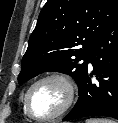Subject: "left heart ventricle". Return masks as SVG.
<instances>
[{"instance_id":"1","label":"left heart ventricle","mask_w":118,"mask_h":123,"mask_svg":"<svg viewBox=\"0 0 118 123\" xmlns=\"http://www.w3.org/2000/svg\"><path fill=\"white\" fill-rule=\"evenodd\" d=\"M66 100V90L62 84L51 80L39 84L31 93L32 112L40 117L55 114Z\"/></svg>"}]
</instances>
